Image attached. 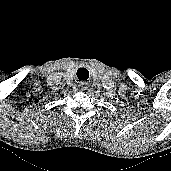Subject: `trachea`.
<instances>
[{"mask_svg": "<svg viewBox=\"0 0 171 171\" xmlns=\"http://www.w3.org/2000/svg\"><path fill=\"white\" fill-rule=\"evenodd\" d=\"M77 77L79 80H87L89 78V72L86 68H79L77 70Z\"/></svg>", "mask_w": 171, "mask_h": 171, "instance_id": "3493384b", "label": "trachea"}]
</instances>
